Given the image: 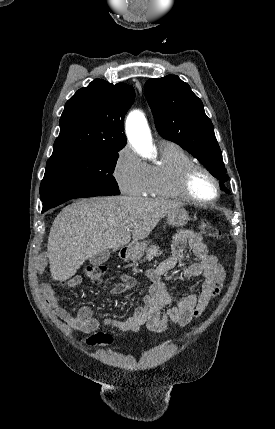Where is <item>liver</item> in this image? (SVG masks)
<instances>
[{
    "label": "liver",
    "instance_id": "1",
    "mask_svg": "<svg viewBox=\"0 0 275 429\" xmlns=\"http://www.w3.org/2000/svg\"><path fill=\"white\" fill-rule=\"evenodd\" d=\"M178 202L129 196L78 200L56 216L47 251L51 277L66 281L99 251L118 249L146 238Z\"/></svg>",
    "mask_w": 275,
    "mask_h": 429
}]
</instances>
